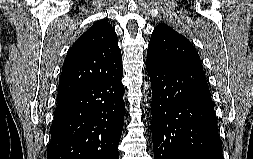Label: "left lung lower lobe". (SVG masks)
Returning a JSON list of instances; mask_svg holds the SVG:
<instances>
[{
	"label": "left lung lower lobe",
	"mask_w": 253,
	"mask_h": 159,
	"mask_svg": "<svg viewBox=\"0 0 253 159\" xmlns=\"http://www.w3.org/2000/svg\"><path fill=\"white\" fill-rule=\"evenodd\" d=\"M146 69L152 87L154 159H223L204 71L147 60Z\"/></svg>",
	"instance_id": "left-lung-lower-lobe-1"
}]
</instances>
